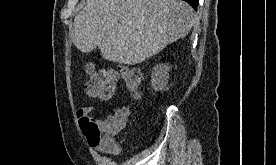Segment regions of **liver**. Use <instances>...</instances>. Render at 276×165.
I'll return each instance as SVG.
<instances>
[{
	"mask_svg": "<svg viewBox=\"0 0 276 165\" xmlns=\"http://www.w3.org/2000/svg\"><path fill=\"white\" fill-rule=\"evenodd\" d=\"M194 24L182 0H87L74 19L72 40L82 52L135 65L184 38Z\"/></svg>",
	"mask_w": 276,
	"mask_h": 165,
	"instance_id": "6515ba94",
	"label": "liver"
}]
</instances>
